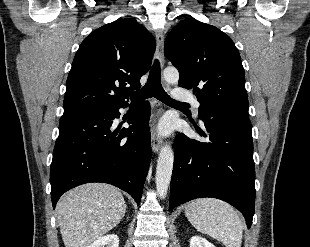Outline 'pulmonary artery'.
<instances>
[{
  "label": "pulmonary artery",
  "mask_w": 310,
  "mask_h": 247,
  "mask_svg": "<svg viewBox=\"0 0 310 247\" xmlns=\"http://www.w3.org/2000/svg\"><path fill=\"white\" fill-rule=\"evenodd\" d=\"M172 97L174 100L177 101H185L191 103L196 109L199 108L200 104L199 102L192 97L190 93L183 92L181 88H175L172 91Z\"/></svg>",
  "instance_id": "1"
}]
</instances>
